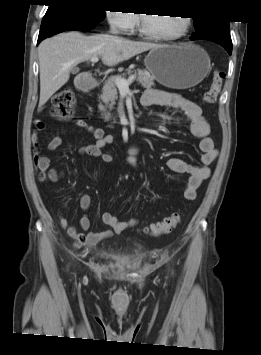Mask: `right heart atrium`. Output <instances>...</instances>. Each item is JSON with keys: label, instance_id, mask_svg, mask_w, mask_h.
<instances>
[{"label": "right heart atrium", "instance_id": "d8ad5b80", "mask_svg": "<svg viewBox=\"0 0 261 355\" xmlns=\"http://www.w3.org/2000/svg\"><path fill=\"white\" fill-rule=\"evenodd\" d=\"M107 19L110 25L121 33L134 31L138 24L137 14L128 9L109 11L107 12Z\"/></svg>", "mask_w": 261, "mask_h": 355}]
</instances>
